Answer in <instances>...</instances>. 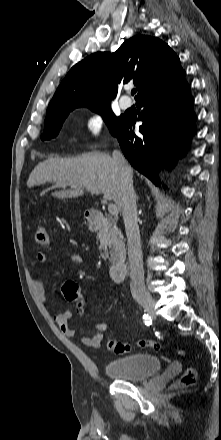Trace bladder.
Here are the masks:
<instances>
[{
	"label": "bladder",
	"mask_w": 221,
	"mask_h": 440,
	"mask_svg": "<svg viewBox=\"0 0 221 440\" xmlns=\"http://www.w3.org/2000/svg\"><path fill=\"white\" fill-rule=\"evenodd\" d=\"M162 366L160 357L139 353L109 360L104 367L106 374L128 381H142L156 375Z\"/></svg>",
	"instance_id": "bladder-1"
}]
</instances>
